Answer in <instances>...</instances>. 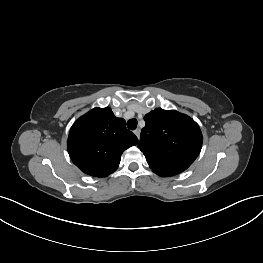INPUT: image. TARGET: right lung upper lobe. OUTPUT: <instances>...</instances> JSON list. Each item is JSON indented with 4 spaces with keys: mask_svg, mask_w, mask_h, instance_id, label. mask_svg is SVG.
Instances as JSON below:
<instances>
[{
    "mask_svg": "<svg viewBox=\"0 0 263 263\" xmlns=\"http://www.w3.org/2000/svg\"><path fill=\"white\" fill-rule=\"evenodd\" d=\"M138 143L137 137L110 108H94L71 127L67 140L73 163L84 173L107 177L120 163L122 153Z\"/></svg>",
    "mask_w": 263,
    "mask_h": 263,
    "instance_id": "1",
    "label": "right lung upper lobe"
}]
</instances>
